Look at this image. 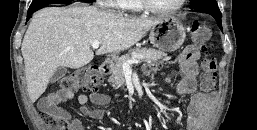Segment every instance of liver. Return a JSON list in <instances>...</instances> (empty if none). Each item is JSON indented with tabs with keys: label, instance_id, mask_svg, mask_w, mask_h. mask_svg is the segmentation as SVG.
<instances>
[{
	"label": "liver",
	"instance_id": "obj_1",
	"mask_svg": "<svg viewBox=\"0 0 257 130\" xmlns=\"http://www.w3.org/2000/svg\"><path fill=\"white\" fill-rule=\"evenodd\" d=\"M158 20L126 18L95 7L39 10L21 46L30 100L35 102L45 92L57 68L78 69L89 64L94 58V41L101 42L96 55L124 51L139 42Z\"/></svg>",
	"mask_w": 257,
	"mask_h": 130
}]
</instances>
